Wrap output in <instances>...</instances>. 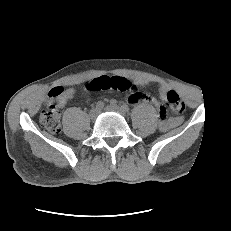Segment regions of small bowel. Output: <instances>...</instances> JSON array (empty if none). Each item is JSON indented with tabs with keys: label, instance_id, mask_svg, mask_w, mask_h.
<instances>
[{
	"label": "small bowel",
	"instance_id": "small-bowel-1",
	"mask_svg": "<svg viewBox=\"0 0 231 231\" xmlns=\"http://www.w3.org/2000/svg\"><path fill=\"white\" fill-rule=\"evenodd\" d=\"M102 77H107V76H102ZM102 77H100V78H102ZM57 88L61 89V94L56 98V100H57L59 106L62 107V106H64L66 104V102L69 99L74 97L75 90L72 89V88H69V89H63V88H60V87H57ZM167 90L168 89H167L166 85H164V84L161 85L160 94H161L162 97H165V94H166ZM127 99H128V102L131 103V104H137L139 102L157 104V101L153 96H151V95H149L147 93H144V92H139V91L129 94ZM176 123H177V121L172 119L167 124H163L162 128L165 129L168 126L174 125Z\"/></svg>",
	"mask_w": 231,
	"mask_h": 231
}]
</instances>
